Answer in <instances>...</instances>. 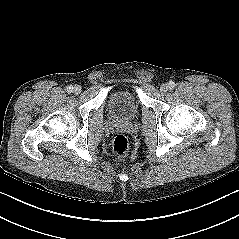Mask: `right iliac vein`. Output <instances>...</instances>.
I'll use <instances>...</instances> for the list:
<instances>
[{"label":"right iliac vein","mask_w":239,"mask_h":239,"mask_svg":"<svg viewBox=\"0 0 239 239\" xmlns=\"http://www.w3.org/2000/svg\"><path fill=\"white\" fill-rule=\"evenodd\" d=\"M73 91H74L76 94H80L81 91H82V88H81V86H79V85H75L74 88H73Z\"/></svg>","instance_id":"right-iliac-vein-1"}]
</instances>
